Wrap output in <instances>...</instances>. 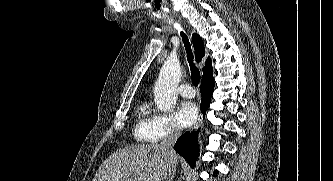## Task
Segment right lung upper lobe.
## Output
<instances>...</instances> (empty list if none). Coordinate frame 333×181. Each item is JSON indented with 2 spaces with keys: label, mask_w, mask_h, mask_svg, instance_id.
<instances>
[{
  "label": "right lung upper lobe",
  "mask_w": 333,
  "mask_h": 181,
  "mask_svg": "<svg viewBox=\"0 0 333 181\" xmlns=\"http://www.w3.org/2000/svg\"><path fill=\"white\" fill-rule=\"evenodd\" d=\"M192 40H193V46H194V50H195L196 61L200 62L202 60V58L205 56V49H204L203 41L200 38V36L197 34H193ZM210 78H213L212 77V63H211V59L208 58L206 60V65L203 68L202 80L210 79Z\"/></svg>",
  "instance_id": "right-lung-upper-lobe-1"
}]
</instances>
